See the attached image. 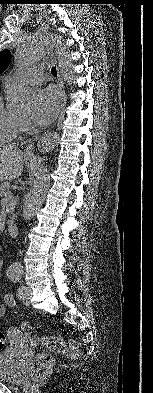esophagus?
<instances>
[{
  "label": "esophagus",
  "mask_w": 153,
  "mask_h": 393,
  "mask_svg": "<svg viewBox=\"0 0 153 393\" xmlns=\"http://www.w3.org/2000/svg\"><path fill=\"white\" fill-rule=\"evenodd\" d=\"M57 71H58V85H59L60 92H61V106H64L65 103H66V93H65V88H64L63 79H62V77H61V75H60V72H59V68H58V67H57ZM33 148H34V147H33L32 144L29 145V146L26 148V152H27V153H32Z\"/></svg>",
  "instance_id": "1"
}]
</instances>
